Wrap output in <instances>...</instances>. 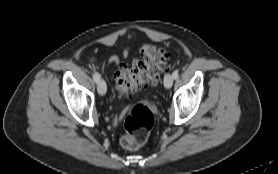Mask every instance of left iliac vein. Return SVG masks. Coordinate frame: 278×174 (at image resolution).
<instances>
[{
	"mask_svg": "<svg viewBox=\"0 0 278 174\" xmlns=\"http://www.w3.org/2000/svg\"><path fill=\"white\" fill-rule=\"evenodd\" d=\"M173 76L171 74H166L164 77V86L169 89L173 85Z\"/></svg>",
	"mask_w": 278,
	"mask_h": 174,
	"instance_id": "left-iliac-vein-1",
	"label": "left iliac vein"
}]
</instances>
